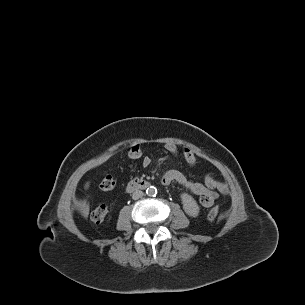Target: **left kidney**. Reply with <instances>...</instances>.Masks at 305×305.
Instances as JSON below:
<instances>
[{"label":"left kidney","instance_id":"obj_1","mask_svg":"<svg viewBox=\"0 0 305 305\" xmlns=\"http://www.w3.org/2000/svg\"><path fill=\"white\" fill-rule=\"evenodd\" d=\"M180 197L183 203V209L185 213L191 217H197L200 208L195 199L188 193H182Z\"/></svg>","mask_w":305,"mask_h":305}]
</instances>
